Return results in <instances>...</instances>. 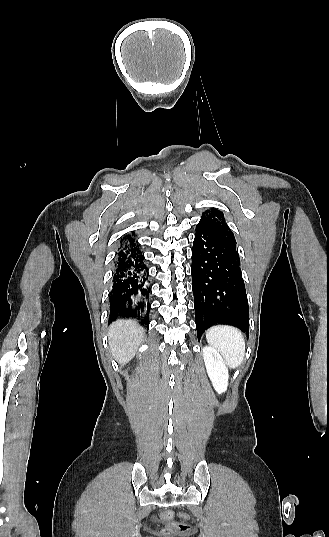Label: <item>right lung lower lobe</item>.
Here are the masks:
<instances>
[{
    "label": "right lung lower lobe",
    "instance_id": "right-lung-lower-lobe-1",
    "mask_svg": "<svg viewBox=\"0 0 329 537\" xmlns=\"http://www.w3.org/2000/svg\"><path fill=\"white\" fill-rule=\"evenodd\" d=\"M112 283L110 321L121 317L142 321L149 318V272L145 257L130 235L120 241Z\"/></svg>",
    "mask_w": 329,
    "mask_h": 537
}]
</instances>
